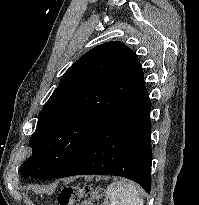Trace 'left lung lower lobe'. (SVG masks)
I'll list each match as a JSON object with an SVG mask.
<instances>
[{"instance_id":"1","label":"left lung lower lobe","mask_w":199,"mask_h":205,"mask_svg":"<svg viewBox=\"0 0 199 205\" xmlns=\"http://www.w3.org/2000/svg\"><path fill=\"white\" fill-rule=\"evenodd\" d=\"M150 99L142 67L130 91L99 122L75 160L56 178L116 175L151 188Z\"/></svg>"}]
</instances>
